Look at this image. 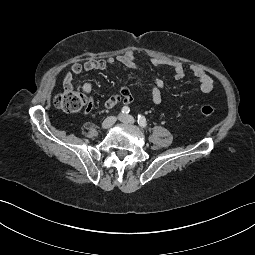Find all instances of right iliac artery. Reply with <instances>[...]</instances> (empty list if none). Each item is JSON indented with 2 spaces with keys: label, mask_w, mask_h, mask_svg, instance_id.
Segmentation results:
<instances>
[{
  "label": "right iliac artery",
  "mask_w": 255,
  "mask_h": 255,
  "mask_svg": "<svg viewBox=\"0 0 255 255\" xmlns=\"http://www.w3.org/2000/svg\"><path fill=\"white\" fill-rule=\"evenodd\" d=\"M129 111H130V109H129V107H127V106H124V107L122 108V113H123V114H128Z\"/></svg>",
  "instance_id": "obj_1"
}]
</instances>
